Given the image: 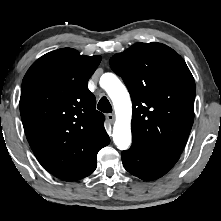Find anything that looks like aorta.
I'll return each mask as SVG.
<instances>
[{
	"label": "aorta",
	"instance_id": "aorta-1",
	"mask_svg": "<svg viewBox=\"0 0 221 221\" xmlns=\"http://www.w3.org/2000/svg\"><path fill=\"white\" fill-rule=\"evenodd\" d=\"M101 86L111 98L116 121L113 128V141L118 149L126 150L131 144L132 103L129 93L122 82L112 73L101 78Z\"/></svg>",
	"mask_w": 221,
	"mask_h": 221
}]
</instances>
